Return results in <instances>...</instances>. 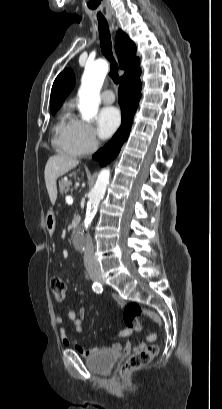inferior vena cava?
I'll use <instances>...</instances> for the list:
<instances>
[{
    "label": "inferior vena cava",
    "instance_id": "1",
    "mask_svg": "<svg viewBox=\"0 0 222 409\" xmlns=\"http://www.w3.org/2000/svg\"><path fill=\"white\" fill-rule=\"evenodd\" d=\"M84 264L88 271L100 269L99 263L94 256V246L91 241L87 242L85 245Z\"/></svg>",
    "mask_w": 222,
    "mask_h": 409
}]
</instances>
